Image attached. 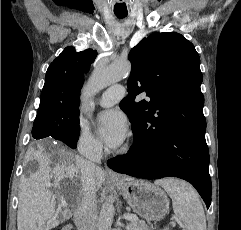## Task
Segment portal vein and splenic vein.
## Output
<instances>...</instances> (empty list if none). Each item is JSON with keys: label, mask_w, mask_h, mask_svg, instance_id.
<instances>
[{"label": "portal vein and splenic vein", "mask_w": 241, "mask_h": 230, "mask_svg": "<svg viewBox=\"0 0 241 230\" xmlns=\"http://www.w3.org/2000/svg\"><path fill=\"white\" fill-rule=\"evenodd\" d=\"M123 218L125 219V220H129V221H135V220H137L138 218L135 216V215H132V214H124L123 215Z\"/></svg>", "instance_id": "obj_1"}]
</instances>
